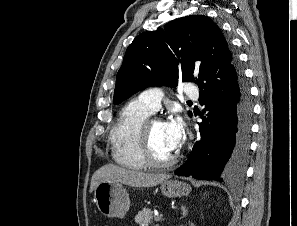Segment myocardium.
I'll use <instances>...</instances> for the list:
<instances>
[{
    "mask_svg": "<svg viewBox=\"0 0 297 226\" xmlns=\"http://www.w3.org/2000/svg\"><path fill=\"white\" fill-rule=\"evenodd\" d=\"M154 122H161L159 118H147L141 125L138 132V140L140 152L145 159L147 165L156 168L170 167L177 163L179 160V153L175 152L168 159H159L153 152L150 140V128Z\"/></svg>",
    "mask_w": 297,
    "mask_h": 226,
    "instance_id": "myocardium-1",
    "label": "myocardium"
}]
</instances>
